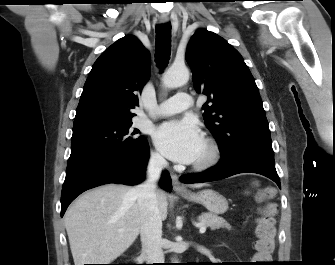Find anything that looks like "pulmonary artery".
I'll return each mask as SVG.
<instances>
[{"mask_svg": "<svg viewBox=\"0 0 335 265\" xmlns=\"http://www.w3.org/2000/svg\"><path fill=\"white\" fill-rule=\"evenodd\" d=\"M192 103V97L188 93L180 92L161 103L156 109V114L165 116L179 113L190 108Z\"/></svg>", "mask_w": 335, "mask_h": 265, "instance_id": "e3ab8cb5", "label": "pulmonary artery"}]
</instances>
